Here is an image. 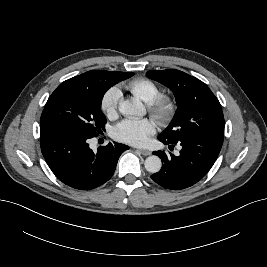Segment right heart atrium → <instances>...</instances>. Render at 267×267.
Returning <instances> with one entry per match:
<instances>
[{
	"label": "right heart atrium",
	"instance_id": "1",
	"mask_svg": "<svg viewBox=\"0 0 267 267\" xmlns=\"http://www.w3.org/2000/svg\"><path fill=\"white\" fill-rule=\"evenodd\" d=\"M120 97L121 92L117 87H111L103 94L100 107L102 112L108 118H113L116 116Z\"/></svg>",
	"mask_w": 267,
	"mask_h": 267
}]
</instances>
